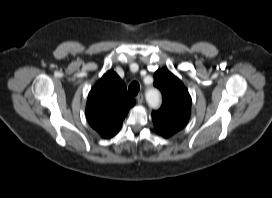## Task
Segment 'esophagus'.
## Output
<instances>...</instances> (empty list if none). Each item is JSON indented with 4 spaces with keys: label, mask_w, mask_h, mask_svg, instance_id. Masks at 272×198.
<instances>
[{
    "label": "esophagus",
    "mask_w": 272,
    "mask_h": 198,
    "mask_svg": "<svg viewBox=\"0 0 272 198\" xmlns=\"http://www.w3.org/2000/svg\"><path fill=\"white\" fill-rule=\"evenodd\" d=\"M136 99H137V102H138L139 104H142L143 101H144V96H143V94H139V95L136 97Z\"/></svg>",
    "instance_id": "esophagus-1"
}]
</instances>
